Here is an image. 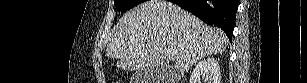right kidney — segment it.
<instances>
[{"label":"right kidney","instance_id":"1","mask_svg":"<svg viewBox=\"0 0 307 83\" xmlns=\"http://www.w3.org/2000/svg\"><path fill=\"white\" fill-rule=\"evenodd\" d=\"M201 79L208 83H220V67L216 59L208 57L195 65L189 83H201Z\"/></svg>","mask_w":307,"mask_h":83}]
</instances>
